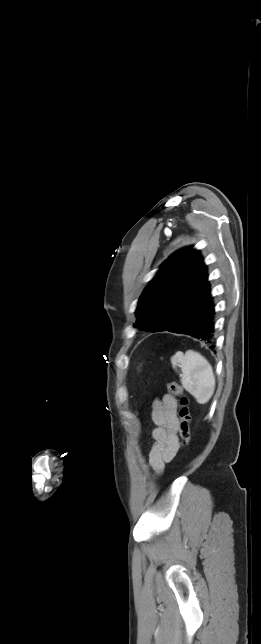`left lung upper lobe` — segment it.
<instances>
[{
    "label": "left lung upper lobe",
    "instance_id": "left-lung-upper-lobe-1",
    "mask_svg": "<svg viewBox=\"0 0 261 644\" xmlns=\"http://www.w3.org/2000/svg\"><path fill=\"white\" fill-rule=\"evenodd\" d=\"M210 295L207 268L199 251L184 248L168 258L143 291L134 327L168 331Z\"/></svg>",
    "mask_w": 261,
    "mask_h": 644
}]
</instances>
